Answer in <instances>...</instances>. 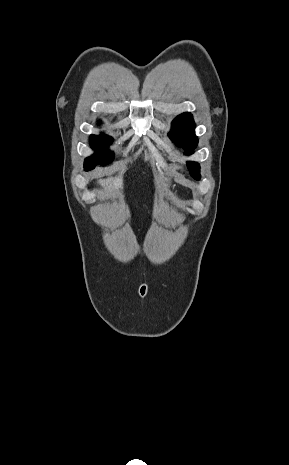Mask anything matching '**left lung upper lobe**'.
Masks as SVG:
<instances>
[{
    "label": "left lung upper lobe",
    "instance_id": "5c2ea615",
    "mask_svg": "<svg viewBox=\"0 0 289 465\" xmlns=\"http://www.w3.org/2000/svg\"><path fill=\"white\" fill-rule=\"evenodd\" d=\"M195 123L190 113L177 116L172 122L169 137L178 146L185 149V154L190 155L196 148L198 139L194 134ZM190 174L195 179H200V166L196 162L187 163Z\"/></svg>",
    "mask_w": 289,
    "mask_h": 465
}]
</instances>
